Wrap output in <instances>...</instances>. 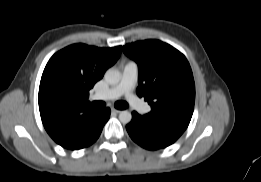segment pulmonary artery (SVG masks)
Instances as JSON below:
<instances>
[{
  "label": "pulmonary artery",
  "instance_id": "pulmonary-artery-1",
  "mask_svg": "<svg viewBox=\"0 0 261 182\" xmlns=\"http://www.w3.org/2000/svg\"><path fill=\"white\" fill-rule=\"evenodd\" d=\"M137 74L138 66L135 62L130 61L125 63L122 67V75L119 83L104 93L93 95L92 99L108 101L124 96L126 100L140 112H150V107L146 103L135 98L131 93L136 82Z\"/></svg>",
  "mask_w": 261,
  "mask_h": 182
}]
</instances>
